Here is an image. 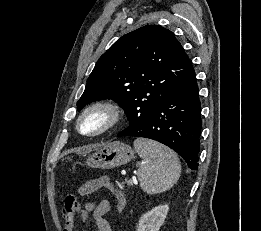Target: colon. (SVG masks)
I'll return each instance as SVG.
<instances>
[{
  "label": "colon",
  "instance_id": "obj_1",
  "mask_svg": "<svg viewBox=\"0 0 261 231\" xmlns=\"http://www.w3.org/2000/svg\"><path fill=\"white\" fill-rule=\"evenodd\" d=\"M95 189H96V184H95V182H93V180L88 182L83 187V190L86 194L92 192ZM121 204H122V202L118 198V206L121 207ZM77 214L82 215V210L80 207L79 199L76 194L68 193L64 197V202H63L64 219H65V221L70 222V221L74 220V218Z\"/></svg>",
  "mask_w": 261,
  "mask_h": 231
}]
</instances>
